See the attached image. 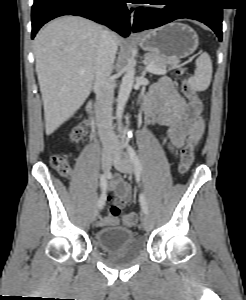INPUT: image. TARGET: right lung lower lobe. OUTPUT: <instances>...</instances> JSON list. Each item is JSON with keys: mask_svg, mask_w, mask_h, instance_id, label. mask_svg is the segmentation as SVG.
I'll use <instances>...</instances> for the list:
<instances>
[{"mask_svg": "<svg viewBox=\"0 0 246 300\" xmlns=\"http://www.w3.org/2000/svg\"><path fill=\"white\" fill-rule=\"evenodd\" d=\"M62 15L88 18L108 26L123 37L130 34L126 0H34L31 38L46 22Z\"/></svg>", "mask_w": 246, "mask_h": 300, "instance_id": "obj_1", "label": "right lung lower lobe"}]
</instances>
